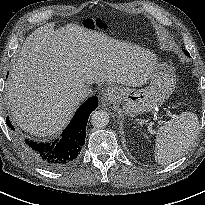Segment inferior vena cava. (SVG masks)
<instances>
[{
  "label": "inferior vena cava",
  "mask_w": 205,
  "mask_h": 205,
  "mask_svg": "<svg viewBox=\"0 0 205 205\" xmlns=\"http://www.w3.org/2000/svg\"><path fill=\"white\" fill-rule=\"evenodd\" d=\"M92 93V89L88 85H83L81 87H78L74 91V96L77 100H83L86 97H88Z\"/></svg>",
  "instance_id": "602c4592"
}]
</instances>
